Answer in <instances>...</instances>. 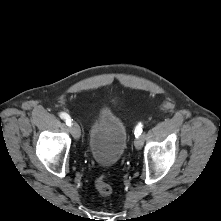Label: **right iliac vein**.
I'll return each instance as SVG.
<instances>
[{"label":"right iliac vein","mask_w":221,"mask_h":221,"mask_svg":"<svg viewBox=\"0 0 221 221\" xmlns=\"http://www.w3.org/2000/svg\"><path fill=\"white\" fill-rule=\"evenodd\" d=\"M71 133H72L74 139H79L80 138V128H79V126L76 122L72 123Z\"/></svg>","instance_id":"obj_1"}]
</instances>
